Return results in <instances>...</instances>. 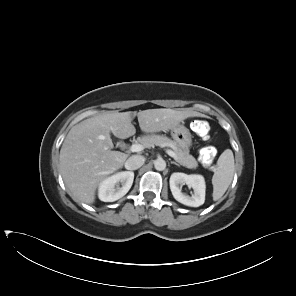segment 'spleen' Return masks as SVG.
<instances>
[{
	"label": "spleen",
	"instance_id": "spleen-1",
	"mask_svg": "<svg viewBox=\"0 0 296 296\" xmlns=\"http://www.w3.org/2000/svg\"><path fill=\"white\" fill-rule=\"evenodd\" d=\"M234 174V156L230 149H226L217 161V167L212 177L213 200H219L232 182Z\"/></svg>",
	"mask_w": 296,
	"mask_h": 296
}]
</instances>
